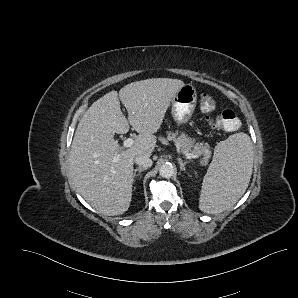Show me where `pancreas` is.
<instances>
[{
  "label": "pancreas",
  "instance_id": "pancreas-1",
  "mask_svg": "<svg viewBox=\"0 0 298 298\" xmlns=\"http://www.w3.org/2000/svg\"><path fill=\"white\" fill-rule=\"evenodd\" d=\"M159 140L162 143H164L165 140L173 141L176 146L180 147L183 153L190 152L202 156V165H207L212 156L210 146L207 142H197L195 138H192L185 133L178 134L177 131L167 132L166 139L159 137Z\"/></svg>",
  "mask_w": 298,
  "mask_h": 298
}]
</instances>
